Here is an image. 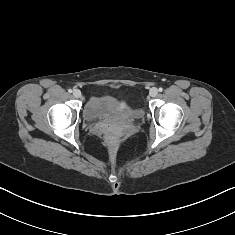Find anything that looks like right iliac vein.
<instances>
[{"label":"right iliac vein","mask_w":235,"mask_h":235,"mask_svg":"<svg viewBox=\"0 0 235 235\" xmlns=\"http://www.w3.org/2000/svg\"><path fill=\"white\" fill-rule=\"evenodd\" d=\"M73 95L74 97L79 98L81 97V91L79 89H74Z\"/></svg>","instance_id":"1"}]
</instances>
